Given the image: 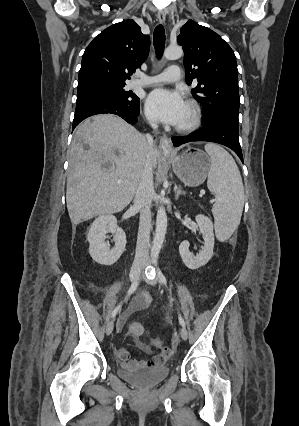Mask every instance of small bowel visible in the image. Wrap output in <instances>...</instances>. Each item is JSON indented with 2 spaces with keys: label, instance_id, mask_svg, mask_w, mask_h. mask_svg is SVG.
I'll use <instances>...</instances> for the list:
<instances>
[{
  "label": "small bowel",
  "instance_id": "1",
  "mask_svg": "<svg viewBox=\"0 0 299 426\" xmlns=\"http://www.w3.org/2000/svg\"><path fill=\"white\" fill-rule=\"evenodd\" d=\"M150 304V297L143 293L138 295L131 303L128 312L119 320V326L124 323V319L130 312L146 309ZM136 346L142 351L150 354L151 349L142 341H137ZM116 355L123 368L128 370H136L139 368H156L163 365L169 358L170 352H164L154 355L148 359H133L130 358L129 350L126 347H120L116 351Z\"/></svg>",
  "mask_w": 299,
  "mask_h": 426
}]
</instances>
